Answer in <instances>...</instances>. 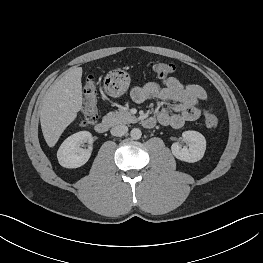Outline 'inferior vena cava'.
I'll list each match as a JSON object with an SVG mask.
<instances>
[{"label":"inferior vena cava","mask_w":263,"mask_h":263,"mask_svg":"<svg viewBox=\"0 0 263 263\" xmlns=\"http://www.w3.org/2000/svg\"><path fill=\"white\" fill-rule=\"evenodd\" d=\"M128 131V127L126 125H123V124H119V125H116L114 127H112L111 129V134L113 136H123L127 133Z\"/></svg>","instance_id":"obj_1"}]
</instances>
